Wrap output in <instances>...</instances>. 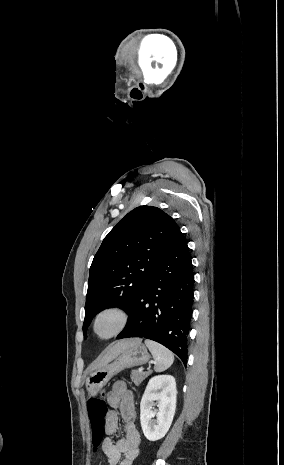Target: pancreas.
I'll use <instances>...</instances> for the list:
<instances>
[{"label": "pancreas", "instance_id": "cf45deb5", "mask_svg": "<svg viewBox=\"0 0 284 465\" xmlns=\"http://www.w3.org/2000/svg\"><path fill=\"white\" fill-rule=\"evenodd\" d=\"M152 371H147V373H139V371H132L131 379L133 383H135L136 387L146 379V377H149L151 375Z\"/></svg>", "mask_w": 284, "mask_h": 465}]
</instances>
